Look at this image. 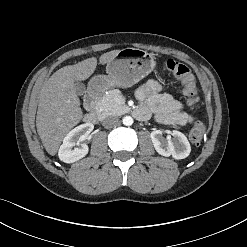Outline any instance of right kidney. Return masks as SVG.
<instances>
[{
    "label": "right kidney",
    "mask_w": 247,
    "mask_h": 247,
    "mask_svg": "<svg viewBox=\"0 0 247 247\" xmlns=\"http://www.w3.org/2000/svg\"><path fill=\"white\" fill-rule=\"evenodd\" d=\"M93 129L92 123H85L71 130L60 146L59 159L65 163H73L85 157L89 148L86 144H79V142L87 139Z\"/></svg>",
    "instance_id": "right-kidney-1"
}]
</instances>
